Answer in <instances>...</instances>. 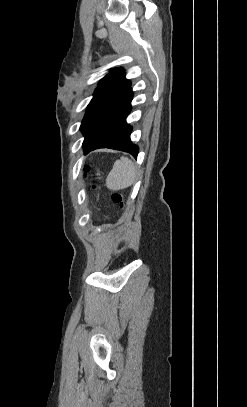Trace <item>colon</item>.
I'll return each instance as SVG.
<instances>
[{
  "label": "colon",
  "instance_id": "obj_1",
  "mask_svg": "<svg viewBox=\"0 0 247 407\" xmlns=\"http://www.w3.org/2000/svg\"><path fill=\"white\" fill-rule=\"evenodd\" d=\"M90 170V168L88 166L85 167V172L87 173ZM112 201L119 204L120 208H124L125 207V202H124V195L121 193H113L112 196Z\"/></svg>",
  "mask_w": 247,
  "mask_h": 407
}]
</instances>
